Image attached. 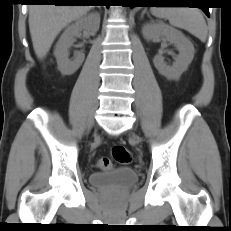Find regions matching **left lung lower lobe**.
I'll return each mask as SVG.
<instances>
[{
	"mask_svg": "<svg viewBox=\"0 0 231 231\" xmlns=\"http://www.w3.org/2000/svg\"><path fill=\"white\" fill-rule=\"evenodd\" d=\"M159 0H133L132 2H134L135 4H138V5H142V6H147V7H150V6H153V4H156V3H160L158 2ZM204 5V4H202ZM205 13L206 15L209 17V10H208V7H200Z\"/></svg>",
	"mask_w": 231,
	"mask_h": 231,
	"instance_id": "left-lung-lower-lobe-1",
	"label": "left lung lower lobe"
}]
</instances>
